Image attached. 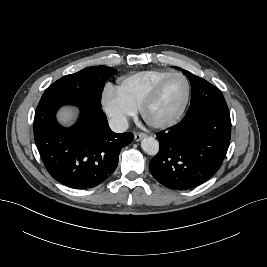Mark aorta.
<instances>
[{
    "mask_svg": "<svg viewBox=\"0 0 267 267\" xmlns=\"http://www.w3.org/2000/svg\"><path fill=\"white\" fill-rule=\"evenodd\" d=\"M142 150L148 155H156L159 151V143L154 137H145L141 141Z\"/></svg>",
    "mask_w": 267,
    "mask_h": 267,
    "instance_id": "1",
    "label": "aorta"
}]
</instances>
